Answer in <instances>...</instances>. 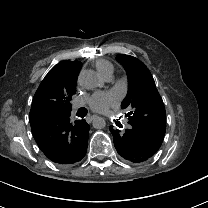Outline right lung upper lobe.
<instances>
[{
  "label": "right lung upper lobe",
  "mask_w": 208,
  "mask_h": 208,
  "mask_svg": "<svg viewBox=\"0 0 208 208\" xmlns=\"http://www.w3.org/2000/svg\"><path fill=\"white\" fill-rule=\"evenodd\" d=\"M82 63L62 61L55 65L38 87L30 111L31 115L70 113L68 101L76 93V82Z\"/></svg>",
  "instance_id": "cb5924a9"
}]
</instances>
